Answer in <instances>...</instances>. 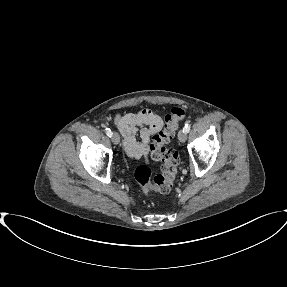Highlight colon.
Listing matches in <instances>:
<instances>
[{
	"label": "colon",
	"instance_id": "obj_1",
	"mask_svg": "<svg viewBox=\"0 0 287 287\" xmlns=\"http://www.w3.org/2000/svg\"><path fill=\"white\" fill-rule=\"evenodd\" d=\"M186 110L181 106L171 109L166 115L163 127L153 135L150 145L151 156L162 163L161 173L152 177V171L147 165L139 166L135 171V179L145 194L151 192L168 193L176 179L179 155L167 147L174 137L180 122L185 118Z\"/></svg>",
	"mask_w": 287,
	"mask_h": 287
}]
</instances>
